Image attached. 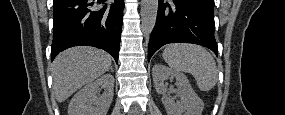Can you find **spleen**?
<instances>
[{"instance_id":"spleen-1","label":"spleen","mask_w":285,"mask_h":115,"mask_svg":"<svg viewBox=\"0 0 285 115\" xmlns=\"http://www.w3.org/2000/svg\"><path fill=\"white\" fill-rule=\"evenodd\" d=\"M171 70L190 73L201 91L214 88L218 81V70L213 56L195 44H169L162 54Z\"/></svg>"}]
</instances>
